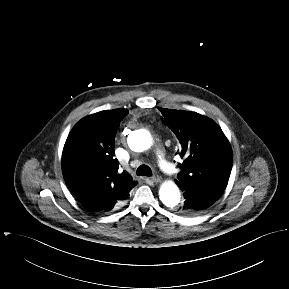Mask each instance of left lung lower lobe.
Wrapping results in <instances>:
<instances>
[{"label":"left lung lower lobe","mask_w":289,"mask_h":289,"mask_svg":"<svg viewBox=\"0 0 289 289\" xmlns=\"http://www.w3.org/2000/svg\"><path fill=\"white\" fill-rule=\"evenodd\" d=\"M184 205L178 209L184 215H197L211 206L217 199L203 193L184 191Z\"/></svg>","instance_id":"left-lung-lower-lobe-1"}]
</instances>
